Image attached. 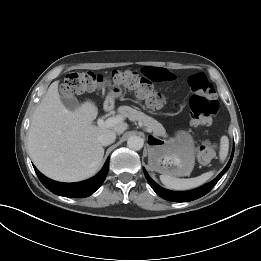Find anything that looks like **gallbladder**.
<instances>
[{"instance_id":"bac80fb5","label":"gallbladder","mask_w":261,"mask_h":261,"mask_svg":"<svg viewBox=\"0 0 261 261\" xmlns=\"http://www.w3.org/2000/svg\"><path fill=\"white\" fill-rule=\"evenodd\" d=\"M61 101L70 111H75L80 106L76 97L71 93H63L61 96Z\"/></svg>"}]
</instances>
